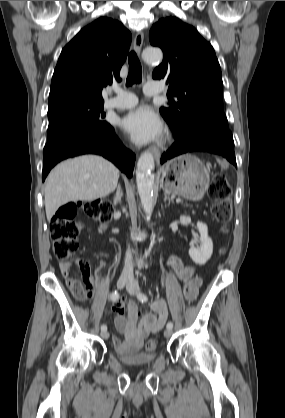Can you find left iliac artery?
I'll return each instance as SVG.
<instances>
[{"label": "left iliac artery", "mask_w": 285, "mask_h": 418, "mask_svg": "<svg viewBox=\"0 0 285 418\" xmlns=\"http://www.w3.org/2000/svg\"><path fill=\"white\" fill-rule=\"evenodd\" d=\"M137 297L141 302H146L148 300V297L143 293H139ZM166 327H167V329H172L173 328V323L168 322Z\"/></svg>", "instance_id": "left-iliac-artery-1"}]
</instances>
